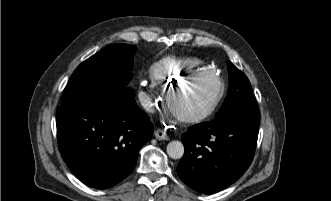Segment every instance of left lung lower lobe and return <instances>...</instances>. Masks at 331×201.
Segmentation results:
<instances>
[{
  "instance_id": "1",
  "label": "left lung lower lobe",
  "mask_w": 331,
  "mask_h": 201,
  "mask_svg": "<svg viewBox=\"0 0 331 201\" xmlns=\"http://www.w3.org/2000/svg\"><path fill=\"white\" fill-rule=\"evenodd\" d=\"M259 116L258 109L232 112L190 127L181 137L185 153L177 166L180 179L204 194L238 180L254 157Z\"/></svg>"
}]
</instances>
